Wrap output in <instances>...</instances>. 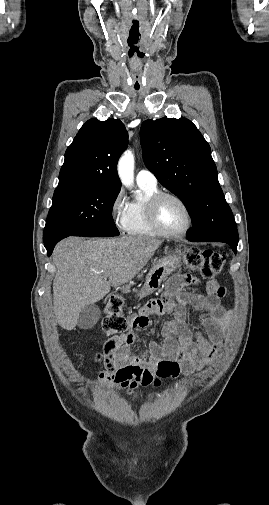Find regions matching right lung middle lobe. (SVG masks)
Here are the masks:
<instances>
[{"label":"right lung middle lobe","mask_w":269,"mask_h":505,"mask_svg":"<svg viewBox=\"0 0 269 505\" xmlns=\"http://www.w3.org/2000/svg\"><path fill=\"white\" fill-rule=\"evenodd\" d=\"M119 191L91 185L56 188L44 228V243L62 236H118L111 212Z\"/></svg>","instance_id":"1"}]
</instances>
